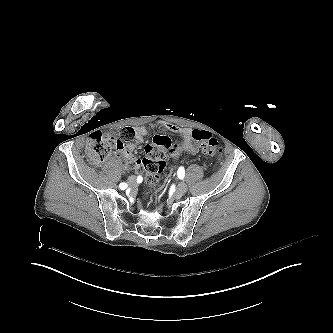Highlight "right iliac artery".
Returning a JSON list of instances; mask_svg holds the SVG:
<instances>
[{
  "label": "right iliac artery",
  "mask_w": 333,
  "mask_h": 333,
  "mask_svg": "<svg viewBox=\"0 0 333 333\" xmlns=\"http://www.w3.org/2000/svg\"><path fill=\"white\" fill-rule=\"evenodd\" d=\"M119 187H120V189L124 190V189L127 188V184H126V183H121V184L119 185Z\"/></svg>",
  "instance_id": "1"
}]
</instances>
